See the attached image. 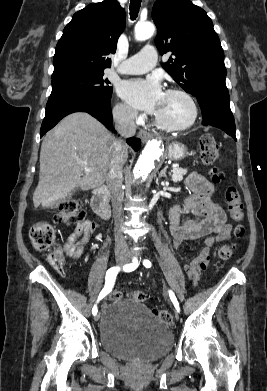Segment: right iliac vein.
<instances>
[{
  "label": "right iliac vein",
  "mask_w": 267,
  "mask_h": 391,
  "mask_svg": "<svg viewBox=\"0 0 267 391\" xmlns=\"http://www.w3.org/2000/svg\"><path fill=\"white\" fill-rule=\"evenodd\" d=\"M127 260H128V258L123 254H119L116 256V263L119 267L124 266L126 264ZM99 319H100V313L96 314L94 317L95 321H98Z\"/></svg>",
  "instance_id": "63e3f726"
}]
</instances>
